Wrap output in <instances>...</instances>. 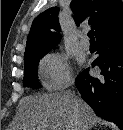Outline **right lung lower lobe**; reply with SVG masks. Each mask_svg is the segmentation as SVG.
Wrapping results in <instances>:
<instances>
[{
	"label": "right lung lower lobe",
	"instance_id": "98d812e1",
	"mask_svg": "<svg viewBox=\"0 0 123 130\" xmlns=\"http://www.w3.org/2000/svg\"><path fill=\"white\" fill-rule=\"evenodd\" d=\"M96 39L99 56L92 67L98 66L101 73L92 77L84 70L76 79V87L96 115L123 130V23Z\"/></svg>",
	"mask_w": 123,
	"mask_h": 130
}]
</instances>
